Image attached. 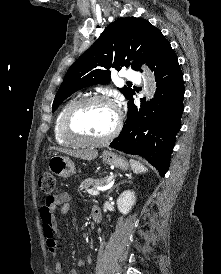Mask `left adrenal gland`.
Masks as SVG:
<instances>
[{"instance_id": "1", "label": "left adrenal gland", "mask_w": 221, "mask_h": 274, "mask_svg": "<svg viewBox=\"0 0 221 274\" xmlns=\"http://www.w3.org/2000/svg\"><path fill=\"white\" fill-rule=\"evenodd\" d=\"M126 182L130 183V182H131L130 178H129L128 181H121V182H119L118 184L114 185V186L109 190L108 194H110L115 188H117L118 186H120V184H123V183H126Z\"/></svg>"}]
</instances>
